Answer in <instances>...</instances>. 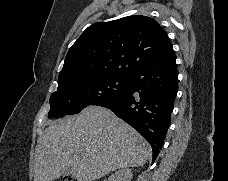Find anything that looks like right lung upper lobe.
<instances>
[{"label":"right lung upper lobe","instance_id":"cb5924a9","mask_svg":"<svg viewBox=\"0 0 228 181\" xmlns=\"http://www.w3.org/2000/svg\"><path fill=\"white\" fill-rule=\"evenodd\" d=\"M173 50L153 18L128 16L89 26L69 49L58 86L105 75L132 76Z\"/></svg>","mask_w":228,"mask_h":181}]
</instances>
